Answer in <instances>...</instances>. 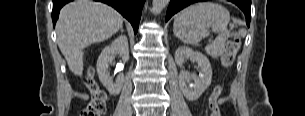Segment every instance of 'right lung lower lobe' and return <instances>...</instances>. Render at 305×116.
Returning <instances> with one entry per match:
<instances>
[{
	"label": "right lung lower lobe",
	"instance_id": "obj_1",
	"mask_svg": "<svg viewBox=\"0 0 305 116\" xmlns=\"http://www.w3.org/2000/svg\"><path fill=\"white\" fill-rule=\"evenodd\" d=\"M72 0H53V10H52V21L53 25L59 16L60 9L68 2ZM103 3H106L118 12H120L126 19H128L133 28L134 32L137 33L139 21L141 17V11L144 5L145 0H96Z\"/></svg>",
	"mask_w": 305,
	"mask_h": 116
}]
</instances>
